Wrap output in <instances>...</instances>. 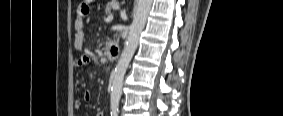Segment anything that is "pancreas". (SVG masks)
Listing matches in <instances>:
<instances>
[{
	"instance_id": "1",
	"label": "pancreas",
	"mask_w": 283,
	"mask_h": 116,
	"mask_svg": "<svg viewBox=\"0 0 283 116\" xmlns=\"http://www.w3.org/2000/svg\"><path fill=\"white\" fill-rule=\"evenodd\" d=\"M117 5H118V1H116V0L109 2L106 5V8H105V14L108 15V16L111 15L112 14V8L117 6Z\"/></svg>"
}]
</instances>
